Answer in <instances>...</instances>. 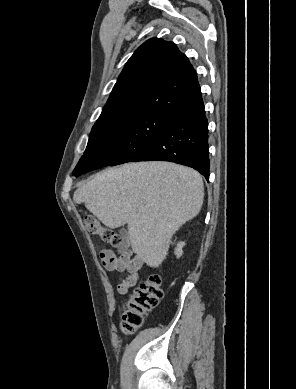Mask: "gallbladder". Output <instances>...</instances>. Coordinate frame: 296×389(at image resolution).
Returning a JSON list of instances; mask_svg holds the SVG:
<instances>
[{"label":"gallbladder","mask_w":296,"mask_h":389,"mask_svg":"<svg viewBox=\"0 0 296 389\" xmlns=\"http://www.w3.org/2000/svg\"><path fill=\"white\" fill-rule=\"evenodd\" d=\"M120 235H121V238H122V245L118 248V252L119 253H122L125 251L126 249V243H127V239H128V232L126 229L122 228L120 230Z\"/></svg>","instance_id":"bac80fb5"}]
</instances>
